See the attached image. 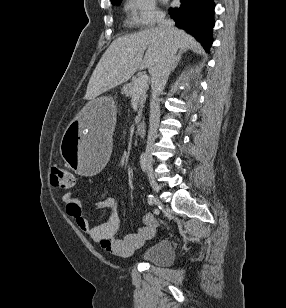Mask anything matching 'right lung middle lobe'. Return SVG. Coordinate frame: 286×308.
I'll return each mask as SVG.
<instances>
[{
	"label": "right lung middle lobe",
	"instance_id": "right-lung-middle-lobe-1",
	"mask_svg": "<svg viewBox=\"0 0 286 308\" xmlns=\"http://www.w3.org/2000/svg\"><path fill=\"white\" fill-rule=\"evenodd\" d=\"M121 1H122V0H114V1H112L111 3H112L113 5H119V4L121 3Z\"/></svg>",
	"mask_w": 286,
	"mask_h": 308
}]
</instances>
